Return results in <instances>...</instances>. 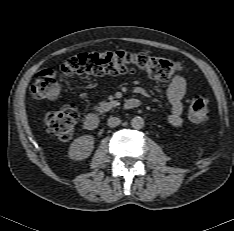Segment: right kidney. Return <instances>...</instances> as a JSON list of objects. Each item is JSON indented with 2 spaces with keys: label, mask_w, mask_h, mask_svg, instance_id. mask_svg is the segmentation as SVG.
I'll return each mask as SVG.
<instances>
[{
  "label": "right kidney",
  "mask_w": 234,
  "mask_h": 231,
  "mask_svg": "<svg viewBox=\"0 0 234 231\" xmlns=\"http://www.w3.org/2000/svg\"><path fill=\"white\" fill-rule=\"evenodd\" d=\"M94 137L83 135L75 139L69 148V157L75 160H82L90 156L94 148Z\"/></svg>",
  "instance_id": "right-kidney-1"
}]
</instances>
